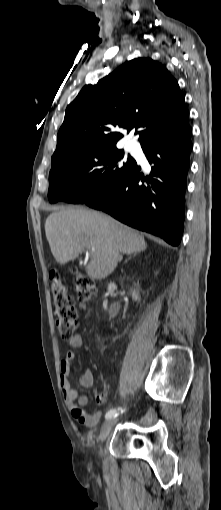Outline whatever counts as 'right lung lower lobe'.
<instances>
[{"mask_svg":"<svg viewBox=\"0 0 221 510\" xmlns=\"http://www.w3.org/2000/svg\"><path fill=\"white\" fill-rule=\"evenodd\" d=\"M191 134L188 124L143 142V152L152 164L150 173L145 175L136 166L124 180L86 205L178 246L183 233Z\"/></svg>","mask_w":221,"mask_h":510,"instance_id":"obj_1","label":"right lung lower lobe"}]
</instances>
